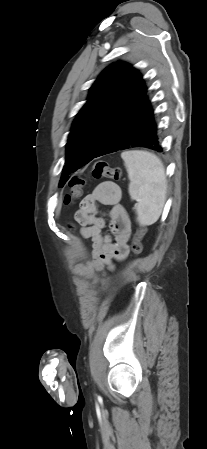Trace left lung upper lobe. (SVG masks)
<instances>
[{
	"label": "left lung upper lobe",
	"mask_w": 207,
	"mask_h": 449,
	"mask_svg": "<svg viewBox=\"0 0 207 449\" xmlns=\"http://www.w3.org/2000/svg\"><path fill=\"white\" fill-rule=\"evenodd\" d=\"M145 97L142 76L126 63H114L98 76L73 122L59 187L71 173L94 159L112 129Z\"/></svg>",
	"instance_id": "obj_1"
}]
</instances>
